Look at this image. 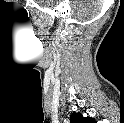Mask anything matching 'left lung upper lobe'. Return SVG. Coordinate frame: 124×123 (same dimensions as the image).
I'll return each mask as SVG.
<instances>
[{"instance_id": "left-lung-upper-lobe-1", "label": "left lung upper lobe", "mask_w": 124, "mask_h": 123, "mask_svg": "<svg viewBox=\"0 0 124 123\" xmlns=\"http://www.w3.org/2000/svg\"><path fill=\"white\" fill-rule=\"evenodd\" d=\"M71 123H95L91 117H83L80 113H73L70 117Z\"/></svg>"}]
</instances>
